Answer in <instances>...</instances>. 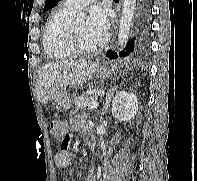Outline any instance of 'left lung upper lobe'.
Segmentation results:
<instances>
[{
  "label": "left lung upper lobe",
  "mask_w": 197,
  "mask_h": 181,
  "mask_svg": "<svg viewBox=\"0 0 197 181\" xmlns=\"http://www.w3.org/2000/svg\"><path fill=\"white\" fill-rule=\"evenodd\" d=\"M59 0H46L45 6H44V12L48 9L53 8L55 5H57Z\"/></svg>",
  "instance_id": "1"
}]
</instances>
